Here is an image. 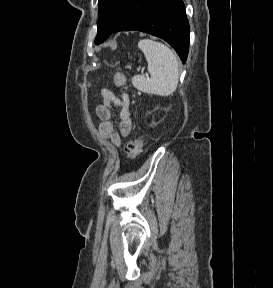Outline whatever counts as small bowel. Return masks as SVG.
Wrapping results in <instances>:
<instances>
[{
  "instance_id": "obj_1",
  "label": "small bowel",
  "mask_w": 273,
  "mask_h": 288,
  "mask_svg": "<svg viewBox=\"0 0 273 288\" xmlns=\"http://www.w3.org/2000/svg\"><path fill=\"white\" fill-rule=\"evenodd\" d=\"M102 101L96 106V115L100 119L98 125L99 133L109 139L115 146L120 147L123 139L127 137L132 129V114L130 99L126 93L115 95L111 90H101ZM119 108V130L115 131L112 124V109Z\"/></svg>"
}]
</instances>
